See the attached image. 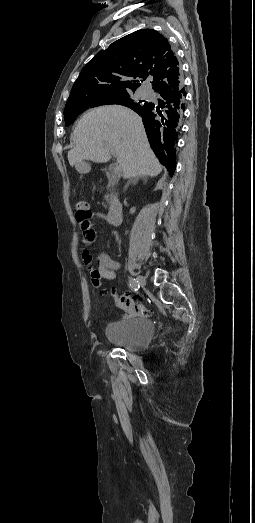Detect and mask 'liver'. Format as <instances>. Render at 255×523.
Segmentation results:
<instances>
[{
	"label": "liver",
	"instance_id": "liver-1",
	"mask_svg": "<svg viewBox=\"0 0 255 523\" xmlns=\"http://www.w3.org/2000/svg\"><path fill=\"white\" fill-rule=\"evenodd\" d=\"M74 148L68 152L70 166L82 172L83 160L109 162L111 152L117 156L123 178L158 176L162 166L146 138L143 122L124 106L94 108L79 120L72 136Z\"/></svg>",
	"mask_w": 255,
	"mask_h": 523
}]
</instances>
